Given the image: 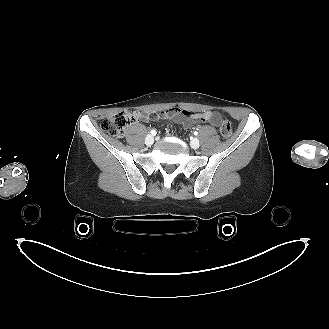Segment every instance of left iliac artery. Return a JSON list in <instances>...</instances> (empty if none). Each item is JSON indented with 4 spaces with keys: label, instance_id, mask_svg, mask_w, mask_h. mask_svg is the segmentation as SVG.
I'll return each instance as SVG.
<instances>
[{
    "label": "left iliac artery",
    "instance_id": "left-iliac-artery-1",
    "mask_svg": "<svg viewBox=\"0 0 329 329\" xmlns=\"http://www.w3.org/2000/svg\"><path fill=\"white\" fill-rule=\"evenodd\" d=\"M194 135H196V136H197V135H198V132H197V131H195V132H194Z\"/></svg>",
    "mask_w": 329,
    "mask_h": 329
}]
</instances>
